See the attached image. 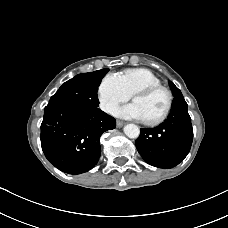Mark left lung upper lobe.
Returning a JSON list of instances; mask_svg holds the SVG:
<instances>
[{"label":"left lung upper lobe","instance_id":"5c2ea615","mask_svg":"<svg viewBox=\"0 0 228 228\" xmlns=\"http://www.w3.org/2000/svg\"><path fill=\"white\" fill-rule=\"evenodd\" d=\"M170 87L173 91L174 96H176L178 94H182L181 91L174 85V83L170 82Z\"/></svg>","mask_w":228,"mask_h":228}]
</instances>
